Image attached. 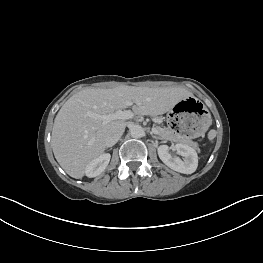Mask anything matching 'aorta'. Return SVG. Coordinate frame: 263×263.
<instances>
[{
    "label": "aorta",
    "instance_id": "aorta-1",
    "mask_svg": "<svg viewBox=\"0 0 263 263\" xmlns=\"http://www.w3.org/2000/svg\"><path fill=\"white\" fill-rule=\"evenodd\" d=\"M145 134L144 132V129L142 126L140 125H133L131 128H130V135L133 137V138H141L143 137Z\"/></svg>",
    "mask_w": 263,
    "mask_h": 263
}]
</instances>
